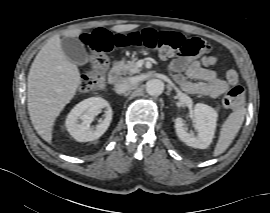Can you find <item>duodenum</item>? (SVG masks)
<instances>
[{"label":"duodenum","mask_w":270,"mask_h":213,"mask_svg":"<svg viewBox=\"0 0 270 213\" xmlns=\"http://www.w3.org/2000/svg\"><path fill=\"white\" fill-rule=\"evenodd\" d=\"M120 79V69L118 67H112L108 73V81L110 83H116Z\"/></svg>","instance_id":"duodenum-1"}]
</instances>
